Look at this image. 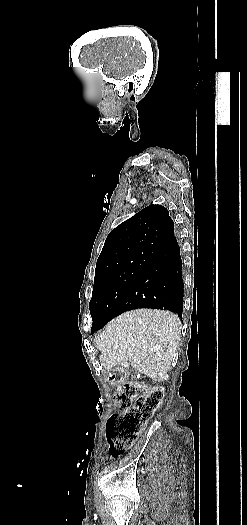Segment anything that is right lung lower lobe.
<instances>
[{
    "mask_svg": "<svg viewBox=\"0 0 247 525\" xmlns=\"http://www.w3.org/2000/svg\"><path fill=\"white\" fill-rule=\"evenodd\" d=\"M137 308L164 309L182 317V260L176 238L151 255L149 264L122 300L116 313L119 315ZM102 327L99 325L91 328V332Z\"/></svg>",
    "mask_w": 247,
    "mask_h": 525,
    "instance_id": "98d812e1",
    "label": "right lung lower lobe"
}]
</instances>
